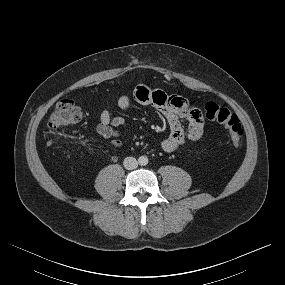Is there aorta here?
<instances>
[{
  "instance_id": "obj_1",
  "label": "aorta",
  "mask_w": 285,
  "mask_h": 285,
  "mask_svg": "<svg viewBox=\"0 0 285 285\" xmlns=\"http://www.w3.org/2000/svg\"><path fill=\"white\" fill-rule=\"evenodd\" d=\"M139 163L141 165H147L148 164V158L146 156L139 157Z\"/></svg>"
}]
</instances>
